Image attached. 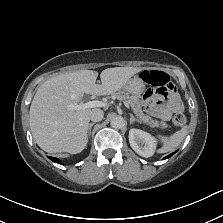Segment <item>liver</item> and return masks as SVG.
<instances>
[{"label":"liver","instance_id":"liver-1","mask_svg":"<svg viewBox=\"0 0 223 223\" xmlns=\"http://www.w3.org/2000/svg\"><path fill=\"white\" fill-rule=\"evenodd\" d=\"M135 67L108 68L101 73L79 70L57 75L45 81L36 92L30 108V126L37 144L46 152L77 154L87 143L90 108L70 109L78 105L82 94L107 95L122 88L135 73Z\"/></svg>","mask_w":223,"mask_h":223}]
</instances>
